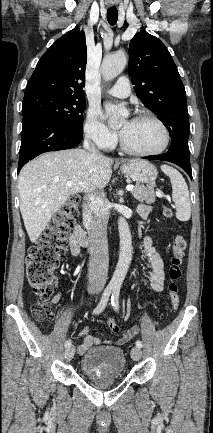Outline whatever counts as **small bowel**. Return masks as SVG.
I'll return each instance as SVG.
<instances>
[{"mask_svg": "<svg viewBox=\"0 0 213 433\" xmlns=\"http://www.w3.org/2000/svg\"><path fill=\"white\" fill-rule=\"evenodd\" d=\"M138 211L139 214L145 218L148 216L150 212V207L148 205L142 204L138 207ZM144 247H145V256L148 262V266L150 268V276L147 280V283L149 284L150 289L154 293L162 292L164 290V282H165L163 260L160 254L158 253V251L152 245V241L149 236H146L144 239ZM69 248L73 256L77 257L80 254L81 247L75 240L73 234L70 236ZM60 298H61L60 293L55 294L52 299L53 303H58ZM137 333H138L137 326L128 329L127 331L124 332L123 336L119 340V343L121 344L129 341L135 335H137ZM80 335L84 337V341L77 348L79 354L85 353L94 344H97L99 342V339L96 336L90 334L88 327H84L81 330Z\"/></svg>", "mask_w": 213, "mask_h": 433, "instance_id": "obj_1", "label": "small bowel"}]
</instances>
